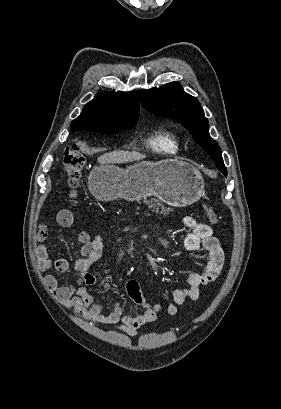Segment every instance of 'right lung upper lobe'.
Returning <instances> with one entry per match:
<instances>
[{
	"label": "right lung upper lobe",
	"instance_id": "1",
	"mask_svg": "<svg viewBox=\"0 0 281 409\" xmlns=\"http://www.w3.org/2000/svg\"><path fill=\"white\" fill-rule=\"evenodd\" d=\"M139 115L137 92H105L87 103L71 123V131L83 127H123L135 125Z\"/></svg>",
	"mask_w": 281,
	"mask_h": 409
}]
</instances>
